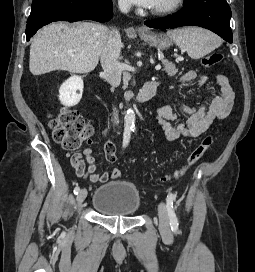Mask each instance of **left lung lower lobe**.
I'll return each mask as SVG.
<instances>
[{
	"label": "left lung lower lobe",
	"instance_id": "0a47b994",
	"mask_svg": "<svg viewBox=\"0 0 255 272\" xmlns=\"http://www.w3.org/2000/svg\"><path fill=\"white\" fill-rule=\"evenodd\" d=\"M184 8L177 14L145 21L151 28L166 29L186 25L207 28L225 41L232 43L230 28L231 10L226 0H185Z\"/></svg>",
	"mask_w": 255,
	"mask_h": 272
}]
</instances>
